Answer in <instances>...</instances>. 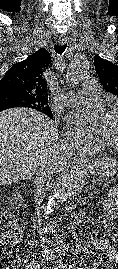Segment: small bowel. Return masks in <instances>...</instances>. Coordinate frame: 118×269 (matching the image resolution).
I'll list each match as a JSON object with an SVG mask.
<instances>
[{"mask_svg":"<svg viewBox=\"0 0 118 269\" xmlns=\"http://www.w3.org/2000/svg\"><path fill=\"white\" fill-rule=\"evenodd\" d=\"M112 214L118 215V192L112 195ZM113 241H118V230L112 234ZM93 246L96 249L102 250L106 253L107 259L118 264V252L113 246L106 240L101 238H95Z\"/></svg>","mask_w":118,"mask_h":269,"instance_id":"1","label":"small bowel"}]
</instances>
